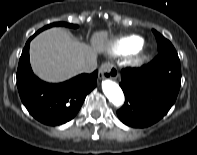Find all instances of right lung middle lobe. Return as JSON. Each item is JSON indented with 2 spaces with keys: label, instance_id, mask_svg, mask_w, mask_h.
<instances>
[{
  "label": "right lung middle lobe",
  "instance_id": "obj_1",
  "mask_svg": "<svg viewBox=\"0 0 197 155\" xmlns=\"http://www.w3.org/2000/svg\"><path fill=\"white\" fill-rule=\"evenodd\" d=\"M53 26H66V27H71V28H77L78 27L77 25L69 24V23H66V22H55V23H51V24L43 27L42 29L38 30L37 33H35V34H38L39 32L43 31L44 29H47V28H50V27H53Z\"/></svg>",
  "mask_w": 197,
  "mask_h": 155
}]
</instances>
